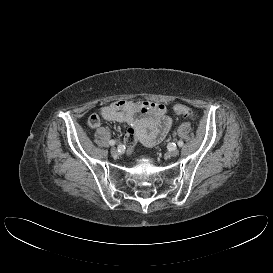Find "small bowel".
<instances>
[{"mask_svg": "<svg viewBox=\"0 0 273 273\" xmlns=\"http://www.w3.org/2000/svg\"><path fill=\"white\" fill-rule=\"evenodd\" d=\"M101 119L129 126L125 142L131 152L137 142L147 147L160 143L168 134L172 119L164 104L157 102L116 101L102 106L88 120L90 128L100 125Z\"/></svg>", "mask_w": 273, "mask_h": 273, "instance_id": "small-bowel-1", "label": "small bowel"}]
</instances>
